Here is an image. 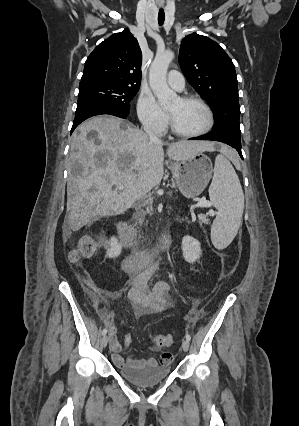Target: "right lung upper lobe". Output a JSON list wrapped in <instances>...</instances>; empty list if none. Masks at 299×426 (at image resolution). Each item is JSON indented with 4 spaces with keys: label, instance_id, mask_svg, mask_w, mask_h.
<instances>
[{
    "label": "right lung upper lobe",
    "instance_id": "cb5924a9",
    "mask_svg": "<svg viewBox=\"0 0 299 426\" xmlns=\"http://www.w3.org/2000/svg\"><path fill=\"white\" fill-rule=\"evenodd\" d=\"M142 53L129 30L101 42L85 62L80 85L113 83L140 87Z\"/></svg>",
    "mask_w": 299,
    "mask_h": 426
}]
</instances>
